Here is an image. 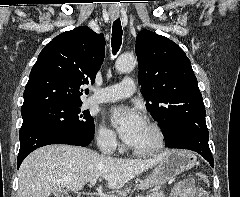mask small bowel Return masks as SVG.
<instances>
[{"mask_svg":"<svg viewBox=\"0 0 240 197\" xmlns=\"http://www.w3.org/2000/svg\"><path fill=\"white\" fill-rule=\"evenodd\" d=\"M171 197H209V195L204 189L196 187L192 181H184L172 191Z\"/></svg>","mask_w":240,"mask_h":197,"instance_id":"small-bowel-1","label":"small bowel"}]
</instances>
